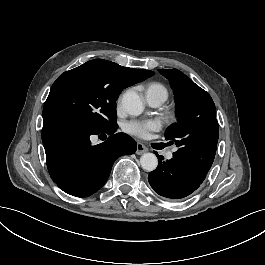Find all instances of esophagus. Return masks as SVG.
I'll list each match as a JSON object with an SVG mask.
<instances>
[{
  "label": "esophagus",
  "mask_w": 265,
  "mask_h": 265,
  "mask_svg": "<svg viewBox=\"0 0 265 265\" xmlns=\"http://www.w3.org/2000/svg\"><path fill=\"white\" fill-rule=\"evenodd\" d=\"M147 151H148V148L143 143H141V142L137 143L136 154L141 155Z\"/></svg>",
  "instance_id": "34e87169"
}]
</instances>
